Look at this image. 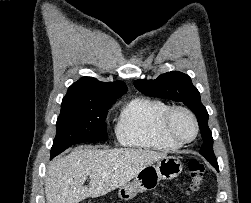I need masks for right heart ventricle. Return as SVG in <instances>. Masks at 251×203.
Returning <instances> with one entry per match:
<instances>
[{"label":"right heart ventricle","mask_w":251,"mask_h":203,"mask_svg":"<svg viewBox=\"0 0 251 203\" xmlns=\"http://www.w3.org/2000/svg\"><path fill=\"white\" fill-rule=\"evenodd\" d=\"M170 108L160 100L135 98L121 110L116 126L118 142L126 147L172 151L181 144L170 140L161 131V120Z\"/></svg>","instance_id":"right-heart-ventricle-1"}]
</instances>
